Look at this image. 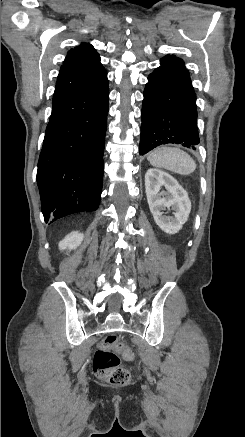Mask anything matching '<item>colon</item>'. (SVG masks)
Wrapping results in <instances>:
<instances>
[{"label":"colon","mask_w":245,"mask_h":437,"mask_svg":"<svg viewBox=\"0 0 245 437\" xmlns=\"http://www.w3.org/2000/svg\"><path fill=\"white\" fill-rule=\"evenodd\" d=\"M118 353L127 360L135 356L134 350L119 342L115 335L105 336L94 354L92 369L98 378L110 384L123 385L130 380V373L120 366Z\"/></svg>","instance_id":"5ec220e1"}]
</instances>
